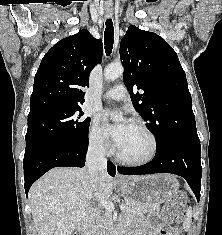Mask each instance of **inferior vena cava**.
<instances>
[{
  "mask_svg": "<svg viewBox=\"0 0 222 235\" xmlns=\"http://www.w3.org/2000/svg\"><path fill=\"white\" fill-rule=\"evenodd\" d=\"M106 165L107 160L102 141L90 144L86 156V166L93 186L98 183L100 173L105 171Z\"/></svg>",
  "mask_w": 222,
  "mask_h": 235,
  "instance_id": "1",
  "label": "inferior vena cava"
}]
</instances>
